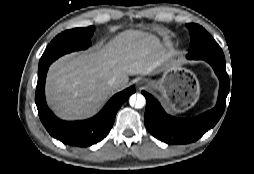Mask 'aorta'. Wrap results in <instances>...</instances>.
<instances>
[{"mask_svg":"<svg viewBox=\"0 0 254 174\" xmlns=\"http://www.w3.org/2000/svg\"><path fill=\"white\" fill-rule=\"evenodd\" d=\"M132 106L136 108H142L146 104L145 97L142 94L132 95L129 100Z\"/></svg>","mask_w":254,"mask_h":174,"instance_id":"aorta-1","label":"aorta"}]
</instances>
